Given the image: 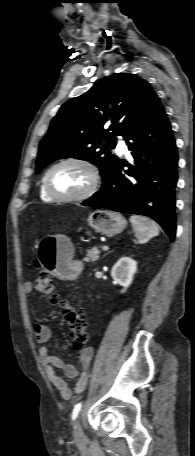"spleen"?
Returning <instances> with one entry per match:
<instances>
[{"label": "spleen", "mask_w": 195, "mask_h": 456, "mask_svg": "<svg viewBox=\"0 0 195 456\" xmlns=\"http://www.w3.org/2000/svg\"><path fill=\"white\" fill-rule=\"evenodd\" d=\"M130 222L138 242L143 244L148 242L152 237L159 235V226L157 223L147 217L132 215Z\"/></svg>", "instance_id": "1"}]
</instances>
